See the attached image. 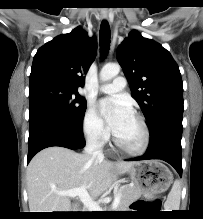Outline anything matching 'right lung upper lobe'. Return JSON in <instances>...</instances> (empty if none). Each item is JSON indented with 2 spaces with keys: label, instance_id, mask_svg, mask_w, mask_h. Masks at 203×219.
Returning <instances> with one entry per match:
<instances>
[{
  "label": "right lung upper lobe",
  "instance_id": "cb5924a9",
  "mask_svg": "<svg viewBox=\"0 0 203 219\" xmlns=\"http://www.w3.org/2000/svg\"><path fill=\"white\" fill-rule=\"evenodd\" d=\"M97 53L95 37L81 27L62 34L39 48L34 56L30 84L55 82L78 90Z\"/></svg>",
  "mask_w": 203,
  "mask_h": 219
}]
</instances>
